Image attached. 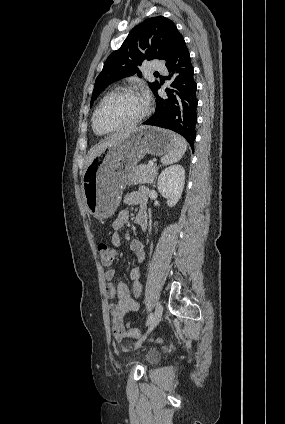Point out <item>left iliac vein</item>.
Here are the masks:
<instances>
[{
    "instance_id": "1",
    "label": "left iliac vein",
    "mask_w": 285,
    "mask_h": 424,
    "mask_svg": "<svg viewBox=\"0 0 285 424\" xmlns=\"http://www.w3.org/2000/svg\"><path fill=\"white\" fill-rule=\"evenodd\" d=\"M162 313H163V306L161 303H157L155 312L153 315V319L150 323V327L148 331L146 332L145 336L136 344V347H139L140 344L146 339L147 335H149V333L157 326V324L161 320Z\"/></svg>"
}]
</instances>
